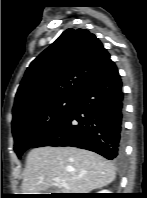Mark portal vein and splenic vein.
I'll use <instances>...</instances> for the list:
<instances>
[{
	"mask_svg": "<svg viewBox=\"0 0 147 198\" xmlns=\"http://www.w3.org/2000/svg\"><path fill=\"white\" fill-rule=\"evenodd\" d=\"M54 182H55V185H57V186H64V187L67 186V182L63 181V180H61L59 178H55Z\"/></svg>",
	"mask_w": 147,
	"mask_h": 198,
	"instance_id": "1",
	"label": "portal vein and splenic vein"
}]
</instances>
